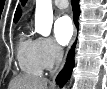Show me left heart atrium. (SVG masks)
Listing matches in <instances>:
<instances>
[{"instance_id": "left-heart-atrium-1", "label": "left heart atrium", "mask_w": 107, "mask_h": 89, "mask_svg": "<svg viewBox=\"0 0 107 89\" xmlns=\"http://www.w3.org/2000/svg\"><path fill=\"white\" fill-rule=\"evenodd\" d=\"M54 35L57 42L66 45L73 37V25L67 15L58 17L54 23Z\"/></svg>"}]
</instances>
